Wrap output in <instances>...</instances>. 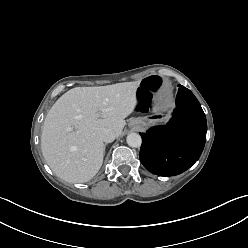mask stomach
Wrapping results in <instances>:
<instances>
[{
	"instance_id": "stomach-1",
	"label": "stomach",
	"mask_w": 248,
	"mask_h": 248,
	"mask_svg": "<svg viewBox=\"0 0 248 248\" xmlns=\"http://www.w3.org/2000/svg\"><path fill=\"white\" fill-rule=\"evenodd\" d=\"M161 116L159 114L147 115L144 117L133 118L131 120V125H137L139 128H147L156 122L161 121Z\"/></svg>"
}]
</instances>
